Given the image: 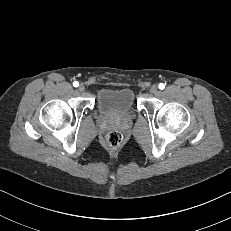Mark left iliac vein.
<instances>
[{
    "label": "left iliac vein",
    "instance_id": "1",
    "mask_svg": "<svg viewBox=\"0 0 231 231\" xmlns=\"http://www.w3.org/2000/svg\"><path fill=\"white\" fill-rule=\"evenodd\" d=\"M158 86L157 85H152L150 88V93L156 94L158 92Z\"/></svg>",
    "mask_w": 231,
    "mask_h": 231
}]
</instances>
